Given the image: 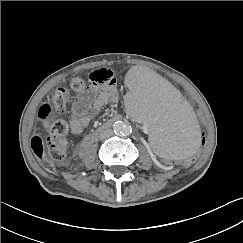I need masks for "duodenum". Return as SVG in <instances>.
I'll list each match as a JSON object with an SVG mask.
<instances>
[{
  "instance_id": "obj_1",
  "label": "duodenum",
  "mask_w": 243,
  "mask_h": 243,
  "mask_svg": "<svg viewBox=\"0 0 243 243\" xmlns=\"http://www.w3.org/2000/svg\"><path fill=\"white\" fill-rule=\"evenodd\" d=\"M119 117H114L103 123L98 128L94 129L91 133H89L80 143L79 150L81 152H86L91 144L105 131L109 130L113 123L119 120Z\"/></svg>"
}]
</instances>
